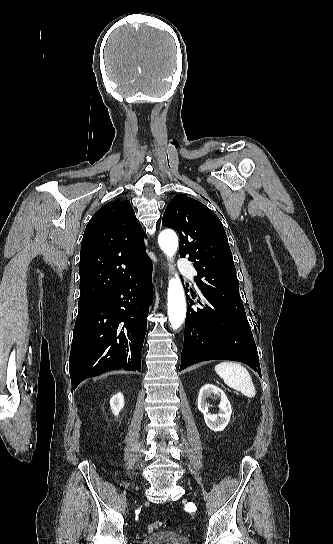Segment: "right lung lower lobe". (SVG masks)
Instances as JSON below:
<instances>
[{"instance_id": "98d812e1", "label": "right lung lower lobe", "mask_w": 333, "mask_h": 544, "mask_svg": "<svg viewBox=\"0 0 333 544\" xmlns=\"http://www.w3.org/2000/svg\"><path fill=\"white\" fill-rule=\"evenodd\" d=\"M152 264L99 304L78 313L69 358L72 391L106 371H141V350L153 299Z\"/></svg>"}]
</instances>
